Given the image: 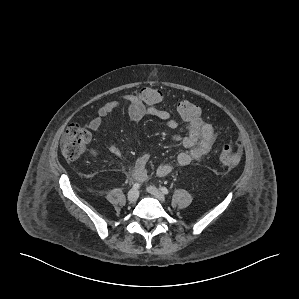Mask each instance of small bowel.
<instances>
[{
    "label": "small bowel",
    "mask_w": 299,
    "mask_h": 299,
    "mask_svg": "<svg viewBox=\"0 0 299 299\" xmlns=\"http://www.w3.org/2000/svg\"><path fill=\"white\" fill-rule=\"evenodd\" d=\"M127 105L128 115L134 122L140 121L145 116H154L163 120L167 127L172 130L178 129L180 122L177 121L170 112L161 108H149L142 101L139 92L122 95L120 100L108 101L103 104L97 112V115L91 120L89 128L97 131L104 123L105 118L122 104ZM172 138L180 142L185 150L178 154L176 163H166L159 166L156 173L159 177L170 174L175 165L185 167L194 162L204 159L211 151L216 140V133L213 126L205 122L201 117L194 119L187 124V132L174 133ZM113 155H120V149L111 144L107 147ZM150 160L149 154L139 156L134 164L133 177L139 182H144L148 178L147 164Z\"/></svg>",
    "instance_id": "1"
}]
</instances>
